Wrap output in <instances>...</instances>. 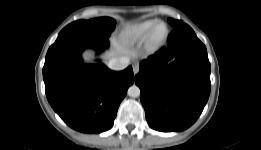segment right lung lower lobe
I'll return each mask as SVG.
<instances>
[{
	"label": "right lung lower lobe",
	"mask_w": 261,
	"mask_h": 150,
	"mask_svg": "<svg viewBox=\"0 0 261 150\" xmlns=\"http://www.w3.org/2000/svg\"><path fill=\"white\" fill-rule=\"evenodd\" d=\"M108 37L65 36L49 48L43 67L47 99L71 128L101 133L113 126L118 107L134 82L132 67L115 72L104 64L84 65L81 52L104 50Z\"/></svg>",
	"instance_id": "1"
}]
</instances>
